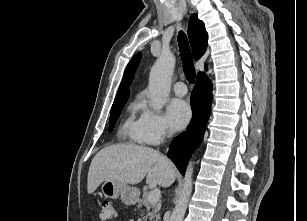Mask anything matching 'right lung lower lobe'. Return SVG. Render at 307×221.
I'll return each instance as SVG.
<instances>
[{
  "label": "right lung lower lobe",
  "mask_w": 307,
  "mask_h": 221,
  "mask_svg": "<svg viewBox=\"0 0 307 221\" xmlns=\"http://www.w3.org/2000/svg\"><path fill=\"white\" fill-rule=\"evenodd\" d=\"M212 85L206 76L197 77L191 95L192 120L187 130L174 138L169 147L168 157L184 173L187 161L200 145L211 111Z\"/></svg>",
  "instance_id": "1"
}]
</instances>
